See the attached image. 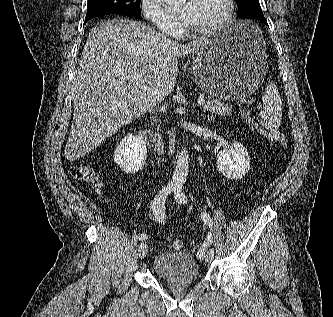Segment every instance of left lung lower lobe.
Instances as JSON below:
<instances>
[{"label": "left lung lower lobe", "instance_id": "1", "mask_svg": "<svg viewBox=\"0 0 333 317\" xmlns=\"http://www.w3.org/2000/svg\"><path fill=\"white\" fill-rule=\"evenodd\" d=\"M243 19H257V20H260V21L264 22L265 24H267V20L265 19L263 14H253V15L245 17Z\"/></svg>", "mask_w": 333, "mask_h": 317}]
</instances>
